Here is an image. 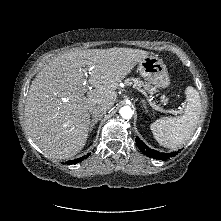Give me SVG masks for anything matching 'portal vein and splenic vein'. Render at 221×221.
I'll use <instances>...</instances> for the list:
<instances>
[{
  "instance_id": "obj_1",
  "label": "portal vein and splenic vein",
  "mask_w": 221,
  "mask_h": 221,
  "mask_svg": "<svg viewBox=\"0 0 221 221\" xmlns=\"http://www.w3.org/2000/svg\"><path fill=\"white\" fill-rule=\"evenodd\" d=\"M90 70H91V69H89L88 72H87L86 70L84 71V75H85L86 77L88 76L87 73L90 74ZM85 84H86V80L84 81V88L82 89V92H83V93L86 92V91L88 90V88H89L88 86H85ZM135 89H137V90H138L139 92H141L145 97H147V93L145 92V90L140 89V88H135ZM151 106L153 107V109L158 110V111L169 112V113L174 114V115H177V114L179 113L178 110H165V109H163L162 107L156 105L155 103H151ZM179 109H180V107H179Z\"/></svg>"
}]
</instances>
